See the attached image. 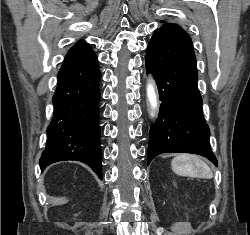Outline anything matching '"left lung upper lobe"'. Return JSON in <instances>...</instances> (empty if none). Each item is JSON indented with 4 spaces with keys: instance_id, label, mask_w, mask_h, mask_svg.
Returning <instances> with one entry per match:
<instances>
[{
    "instance_id": "1",
    "label": "left lung upper lobe",
    "mask_w": 250,
    "mask_h": 235,
    "mask_svg": "<svg viewBox=\"0 0 250 235\" xmlns=\"http://www.w3.org/2000/svg\"><path fill=\"white\" fill-rule=\"evenodd\" d=\"M157 30H174L180 33H186L180 26L173 23H165L162 27L158 28Z\"/></svg>"
}]
</instances>
